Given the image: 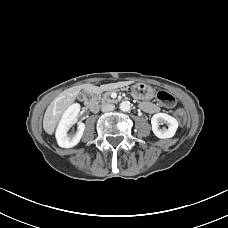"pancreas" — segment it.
<instances>
[{
    "label": "pancreas",
    "mask_w": 228,
    "mask_h": 228,
    "mask_svg": "<svg viewBox=\"0 0 228 228\" xmlns=\"http://www.w3.org/2000/svg\"><path fill=\"white\" fill-rule=\"evenodd\" d=\"M115 90L116 91H118V90L127 91L128 89L127 88H120V89L116 88ZM115 90H113V91H115ZM113 91H110V92H113ZM110 92H106L102 96L98 97V100L102 103V105L107 104V103H114L115 102V100L110 98ZM130 96L133 97L136 101L138 100V98L135 97L133 94H131ZM137 102L139 104L141 103L139 100Z\"/></svg>",
    "instance_id": "pancreas-1"
}]
</instances>
